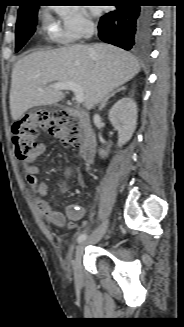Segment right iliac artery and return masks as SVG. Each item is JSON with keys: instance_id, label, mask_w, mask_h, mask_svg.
Listing matches in <instances>:
<instances>
[{"instance_id": "1", "label": "right iliac artery", "mask_w": 184, "mask_h": 327, "mask_svg": "<svg viewBox=\"0 0 184 327\" xmlns=\"http://www.w3.org/2000/svg\"><path fill=\"white\" fill-rule=\"evenodd\" d=\"M86 238H87V234L86 233L80 234L79 237H78V243L84 242L86 240Z\"/></svg>"}]
</instances>
